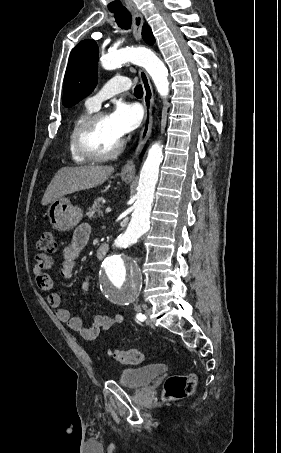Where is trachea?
<instances>
[{"label": "trachea", "mask_w": 281, "mask_h": 453, "mask_svg": "<svg viewBox=\"0 0 281 453\" xmlns=\"http://www.w3.org/2000/svg\"><path fill=\"white\" fill-rule=\"evenodd\" d=\"M114 17L116 20L117 25L120 28H125V30H128V28L131 27V15L129 12H122V13H115L114 12ZM134 95L137 97H142L143 96V89L141 85H137L134 90Z\"/></svg>", "instance_id": "trachea-1"}]
</instances>
